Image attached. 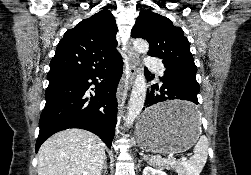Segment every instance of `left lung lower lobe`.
<instances>
[{
  "label": "left lung lower lobe",
  "instance_id": "left-lung-lower-lobe-1",
  "mask_svg": "<svg viewBox=\"0 0 251 175\" xmlns=\"http://www.w3.org/2000/svg\"><path fill=\"white\" fill-rule=\"evenodd\" d=\"M164 76L160 78L163 82L160 91L159 87L153 85V90L147 92L145 107L143 108L142 123L146 126L158 125L170 122H186L192 121L199 117L200 111L198 105L197 94L199 92V84L196 81V73L187 71L177 67H167ZM147 78L149 75L147 74ZM170 99L186 100L191 103L153 109L156 103Z\"/></svg>",
  "mask_w": 251,
  "mask_h": 175
}]
</instances>
